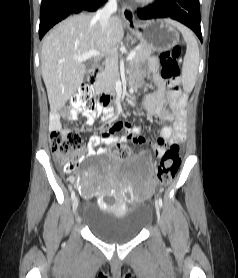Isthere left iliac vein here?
Segmentation results:
<instances>
[{
    "instance_id": "4c4485c4",
    "label": "left iliac vein",
    "mask_w": 238,
    "mask_h": 278,
    "mask_svg": "<svg viewBox=\"0 0 238 278\" xmlns=\"http://www.w3.org/2000/svg\"><path fill=\"white\" fill-rule=\"evenodd\" d=\"M156 214H157V217H158V220L160 218V209H159V205L156 204Z\"/></svg>"
}]
</instances>
